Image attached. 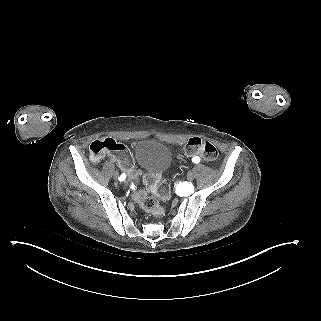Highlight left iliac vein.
<instances>
[{"label": "left iliac vein", "mask_w": 321, "mask_h": 321, "mask_svg": "<svg viewBox=\"0 0 321 321\" xmlns=\"http://www.w3.org/2000/svg\"><path fill=\"white\" fill-rule=\"evenodd\" d=\"M187 179H188V181H192L194 179V172L193 171H189L187 173Z\"/></svg>", "instance_id": "obj_1"}]
</instances>
